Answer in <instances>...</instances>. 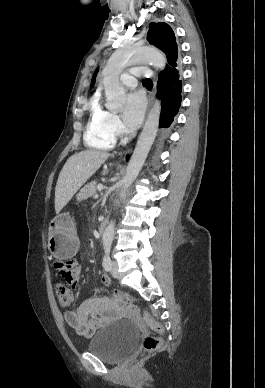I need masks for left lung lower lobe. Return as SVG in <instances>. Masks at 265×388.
Masks as SVG:
<instances>
[{"label": "left lung lower lobe", "instance_id": "0a47b994", "mask_svg": "<svg viewBox=\"0 0 265 388\" xmlns=\"http://www.w3.org/2000/svg\"><path fill=\"white\" fill-rule=\"evenodd\" d=\"M157 90V95L161 99L160 127L169 128L181 106L182 71L180 64L160 73Z\"/></svg>", "mask_w": 265, "mask_h": 388}]
</instances>
